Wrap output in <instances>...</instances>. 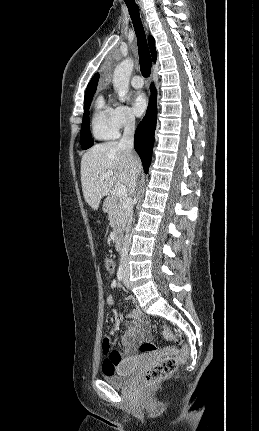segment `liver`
<instances>
[{
	"mask_svg": "<svg viewBox=\"0 0 259 431\" xmlns=\"http://www.w3.org/2000/svg\"><path fill=\"white\" fill-rule=\"evenodd\" d=\"M142 165L133 153L130 159L127 151L117 142L97 144L90 148L81 159V184L87 203L97 210L101 199L106 196L115 183L131 187L134 175L141 172ZM107 171L113 175L100 180Z\"/></svg>",
	"mask_w": 259,
	"mask_h": 431,
	"instance_id": "liver-1",
	"label": "liver"
}]
</instances>
